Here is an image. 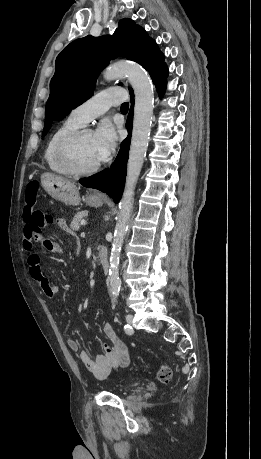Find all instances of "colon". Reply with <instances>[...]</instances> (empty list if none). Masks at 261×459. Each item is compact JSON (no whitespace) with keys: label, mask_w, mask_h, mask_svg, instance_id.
Here are the masks:
<instances>
[{"label":"colon","mask_w":261,"mask_h":459,"mask_svg":"<svg viewBox=\"0 0 261 459\" xmlns=\"http://www.w3.org/2000/svg\"><path fill=\"white\" fill-rule=\"evenodd\" d=\"M39 184L32 181L27 185L25 191V203L23 217L19 220V225L23 227L20 232L22 238H35L37 233H42L44 229L54 224V218L46 212L34 210L38 197ZM172 377L170 367L161 365L158 369V379L162 383H168Z\"/></svg>","instance_id":"1"}]
</instances>
